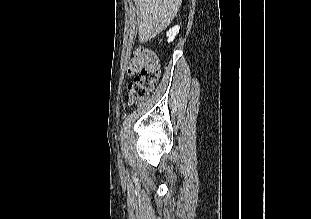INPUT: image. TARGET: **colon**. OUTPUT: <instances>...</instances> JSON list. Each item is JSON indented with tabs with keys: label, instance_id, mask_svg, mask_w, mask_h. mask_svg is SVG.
Returning <instances> with one entry per match:
<instances>
[{
	"label": "colon",
	"instance_id": "obj_1",
	"mask_svg": "<svg viewBox=\"0 0 311 219\" xmlns=\"http://www.w3.org/2000/svg\"><path fill=\"white\" fill-rule=\"evenodd\" d=\"M128 73L133 76L128 85L130 102L141 104L149 97L159 79L160 67L156 53L145 47L137 49L129 61Z\"/></svg>",
	"mask_w": 311,
	"mask_h": 219
}]
</instances>
